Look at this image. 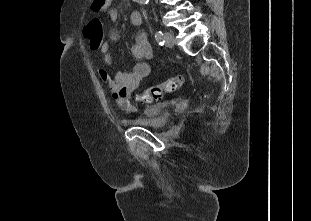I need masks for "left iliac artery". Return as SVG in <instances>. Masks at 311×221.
<instances>
[{"mask_svg":"<svg viewBox=\"0 0 311 221\" xmlns=\"http://www.w3.org/2000/svg\"><path fill=\"white\" fill-rule=\"evenodd\" d=\"M155 39L158 42V44L160 46H163L165 43V38H164V34L162 33V31L158 30L155 33Z\"/></svg>","mask_w":311,"mask_h":221,"instance_id":"left-iliac-artery-1","label":"left iliac artery"}]
</instances>
